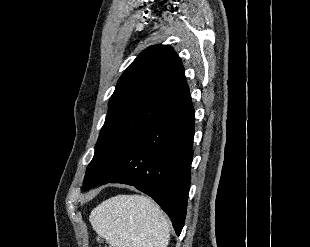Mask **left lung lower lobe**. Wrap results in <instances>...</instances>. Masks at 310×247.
<instances>
[{
    "label": "left lung lower lobe",
    "mask_w": 310,
    "mask_h": 247,
    "mask_svg": "<svg viewBox=\"0 0 310 247\" xmlns=\"http://www.w3.org/2000/svg\"><path fill=\"white\" fill-rule=\"evenodd\" d=\"M193 137L194 108L188 93L150 124L94 186L116 182L136 187L160 205L180 235L191 180Z\"/></svg>",
    "instance_id": "0a47b994"
}]
</instances>
